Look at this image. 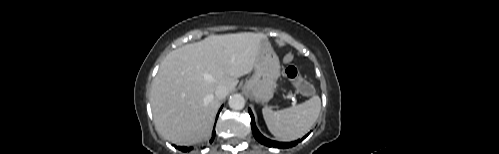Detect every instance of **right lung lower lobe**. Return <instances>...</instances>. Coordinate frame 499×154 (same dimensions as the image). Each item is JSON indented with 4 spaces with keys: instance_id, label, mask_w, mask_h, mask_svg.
I'll list each match as a JSON object with an SVG mask.
<instances>
[{
    "instance_id": "1",
    "label": "right lung lower lobe",
    "mask_w": 499,
    "mask_h": 154,
    "mask_svg": "<svg viewBox=\"0 0 499 154\" xmlns=\"http://www.w3.org/2000/svg\"><path fill=\"white\" fill-rule=\"evenodd\" d=\"M220 110H221V109H220ZM219 112H220V111H219ZM218 115H219V113H218ZM218 115H217V116H218ZM214 137H215V128H214V130H213V133H212V139L210 140V143L214 140ZM175 148H177V149H179V150H181V151H183V152H187V151L191 150V148H187V147H180V146H175Z\"/></svg>"
}]
</instances>
